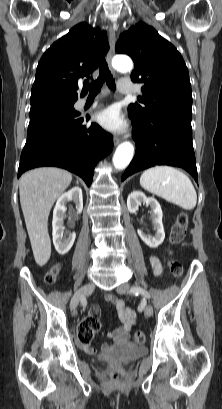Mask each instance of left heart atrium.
<instances>
[{"label":"left heart atrium","instance_id":"left-heart-atrium-1","mask_svg":"<svg viewBox=\"0 0 222 409\" xmlns=\"http://www.w3.org/2000/svg\"><path fill=\"white\" fill-rule=\"evenodd\" d=\"M95 119L106 130L120 132L125 129V122L118 109L114 106L108 107L99 112Z\"/></svg>","mask_w":222,"mask_h":409}]
</instances>
